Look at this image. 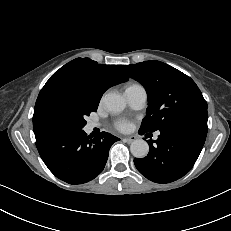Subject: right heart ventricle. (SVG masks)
<instances>
[{
	"mask_svg": "<svg viewBox=\"0 0 231 231\" xmlns=\"http://www.w3.org/2000/svg\"><path fill=\"white\" fill-rule=\"evenodd\" d=\"M135 86H140V85H138V84H132V85H130L127 89L132 88V87H135Z\"/></svg>",
	"mask_w": 231,
	"mask_h": 231,
	"instance_id": "right-heart-ventricle-1",
	"label": "right heart ventricle"
}]
</instances>
